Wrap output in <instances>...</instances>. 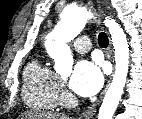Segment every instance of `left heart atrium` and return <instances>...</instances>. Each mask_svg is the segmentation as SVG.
Returning a JSON list of instances; mask_svg holds the SVG:
<instances>
[{"label": "left heart atrium", "mask_w": 142, "mask_h": 119, "mask_svg": "<svg viewBox=\"0 0 142 119\" xmlns=\"http://www.w3.org/2000/svg\"><path fill=\"white\" fill-rule=\"evenodd\" d=\"M102 84L103 74L100 65L92 60L78 62L69 81L71 90L83 97L96 94Z\"/></svg>", "instance_id": "obj_1"}]
</instances>
